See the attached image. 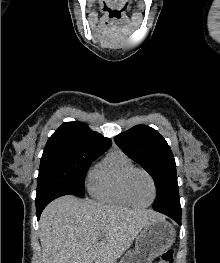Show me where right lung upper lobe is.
<instances>
[{"mask_svg": "<svg viewBox=\"0 0 220 263\" xmlns=\"http://www.w3.org/2000/svg\"><path fill=\"white\" fill-rule=\"evenodd\" d=\"M112 141L81 122H66L49 138L44 151L71 150L103 154Z\"/></svg>", "mask_w": 220, "mask_h": 263, "instance_id": "obj_1", "label": "right lung upper lobe"}]
</instances>
